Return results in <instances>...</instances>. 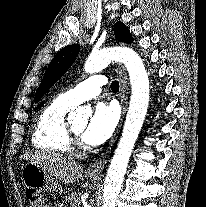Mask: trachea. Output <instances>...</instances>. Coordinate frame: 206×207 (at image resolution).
Returning <instances> with one entry per match:
<instances>
[{
	"label": "trachea",
	"mask_w": 206,
	"mask_h": 207,
	"mask_svg": "<svg viewBox=\"0 0 206 207\" xmlns=\"http://www.w3.org/2000/svg\"><path fill=\"white\" fill-rule=\"evenodd\" d=\"M111 90L113 92H118L119 91V82L118 81L115 80L111 83Z\"/></svg>",
	"instance_id": "obj_1"
}]
</instances>
